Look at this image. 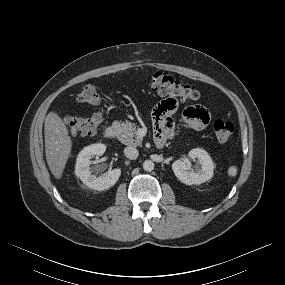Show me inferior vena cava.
Listing matches in <instances>:
<instances>
[{
  "mask_svg": "<svg viewBox=\"0 0 285 285\" xmlns=\"http://www.w3.org/2000/svg\"><path fill=\"white\" fill-rule=\"evenodd\" d=\"M124 154L129 159H136L139 155V152L136 148L128 146L124 149Z\"/></svg>",
  "mask_w": 285,
  "mask_h": 285,
  "instance_id": "inferior-vena-cava-1",
  "label": "inferior vena cava"
}]
</instances>
